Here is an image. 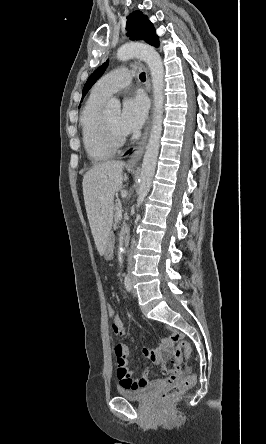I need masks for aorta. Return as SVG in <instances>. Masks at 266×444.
I'll return each instance as SVG.
<instances>
[{"instance_id": "aorta-1", "label": "aorta", "mask_w": 266, "mask_h": 444, "mask_svg": "<svg viewBox=\"0 0 266 444\" xmlns=\"http://www.w3.org/2000/svg\"><path fill=\"white\" fill-rule=\"evenodd\" d=\"M133 57L143 60L148 65L151 72L154 96L152 127L143 157L138 190V198L143 201L150 191L159 154L164 108V67L159 53L149 45L128 43L117 51V58L121 61ZM106 109L116 113L120 112V101L116 98L110 99Z\"/></svg>"}]
</instances>
